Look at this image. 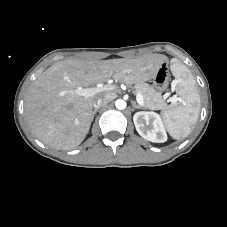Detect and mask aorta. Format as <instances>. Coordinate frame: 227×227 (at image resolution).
I'll list each match as a JSON object with an SVG mask.
<instances>
[{
  "label": "aorta",
  "mask_w": 227,
  "mask_h": 227,
  "mask_svg": "<svg viewBox=\"0 0 227 227\" xmlns=\"http://www.w3.org/2000/svg\"><path fill=\"white\" fill-rule=\"evenodd\" d=\"M115 106L118 110H124L127 106V103L123 99H118L115 101Z\"/></svg>",
  "instance_id": "1"
}]
</instances>
